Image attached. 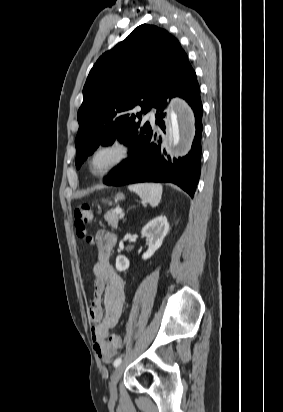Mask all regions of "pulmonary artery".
Masks as SVG:
<instances>
[{"label":"pulmonary artery","instance_id":"1","mask_svg":"<svg viewBox=\"0 0 283 412\" xmlns=\"http://www.w3.org/2000/svg\"><path fill=\"white\" fill-rule=\"evenodd\" d=\"M145 118H146V119H150L151 121H153V120H154V113H153L152 111L148 112V113L145 115Z\"/></svg>","mask_w":283,"mask_h":412}]
</instances>
